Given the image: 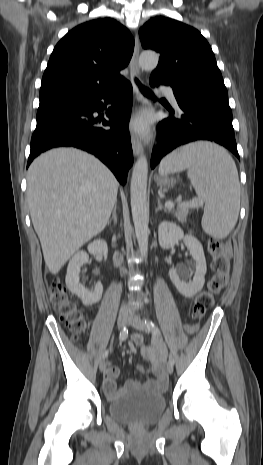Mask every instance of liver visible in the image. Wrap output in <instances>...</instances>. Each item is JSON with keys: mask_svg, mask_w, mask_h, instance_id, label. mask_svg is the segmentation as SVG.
<instances>
[{"mask_svg": "<svg viewBox=\"0 0 263 465\" xmlns=\"http://www.w3.org/2000/svg\"><path fill=\"white\" fill-rule=\"evenodd\" d=\"M118 181L94 156L57 148L37 157L27 174V200L45 264L57 274L108 223Z\"/></svg>", "mask_w": 263, "mask_h": 465, "instance_id": "obj_1", "label": "liver"}]
</instances>
